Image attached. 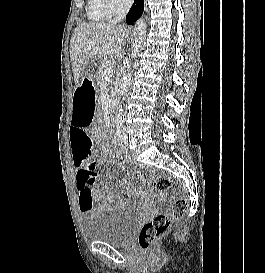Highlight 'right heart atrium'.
Returning <instances> with one entry per match:
<instances>
[{
	"label": "right heart atrium",
	"mask_w": 265,
	"mask_h": 273,
	"mask_svg": "<svg viewBox=\"0 0 265 273\" xmlns=\"http://www.w3.org/2000/svg\"><path fill=\"white\" fill-rule=\"evenodd\" d=\"M97 2L111 15L128 10L132 4V0H97Z\"/></svg>",
	"instance_id": "obj_1"
}]
</instances>
